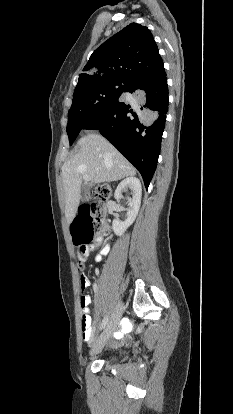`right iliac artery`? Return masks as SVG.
Here are the masks:
<instances>
[{"mask_svg": "<svg viewBox=\"0 0 233 414\" xmlns=\"http://www.w3.org/2000/svg\"><path fill=\"white\" fill-rule=\"evenodd\" d=\"M107 322H108V317L104 318V320L102 321L101 329L105 328V326L107 325Z\"/></svg>", "mask_w": 233, "mask_h": 414, "instance_id": "obj_1", "label": "right iliac artery"}]
</instances>
